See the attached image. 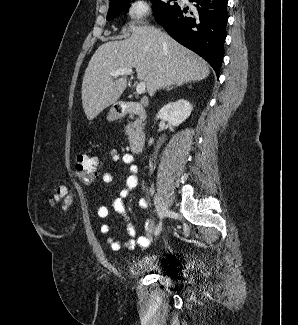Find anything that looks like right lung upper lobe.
Returning <instances> with one entry per match:
<instances>
[{"label": "right lung upper lobe", "mask_w": 298, "mask_h": 325, "mask_svg": "<svg viewBox=\"0 0 298 325\" xmlns=\"http://www.w3.org/2000/svg\"><path fill=\"white\" fill-rule=\"evenodd\" d=\"M113 1H115V0H110V2H113Z\"/></svg>", "instance_id": "cb5924a9"}]
</instances>
